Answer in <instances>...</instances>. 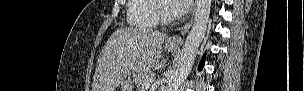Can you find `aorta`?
<instances>
[{
	"instance_id": "762f6f07",
	"label": "aorta",
	"mask_w": 304,
	"mask_h": 91,
	"mask_svg": "<svg viewBox=\"0 0 304 91\" xmlns=\"http://www.w3.org/2000/svg\"><path fill=\"white\" fill-rule=\"evenodd\" d=\"M212 0H197L193 26L185 40L177 69L171 77L167 91H178L190 73L200 44L205 37Z\"/></svg>"
}]
</instances>
